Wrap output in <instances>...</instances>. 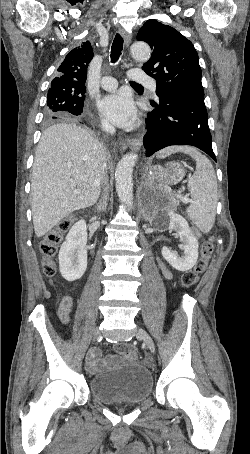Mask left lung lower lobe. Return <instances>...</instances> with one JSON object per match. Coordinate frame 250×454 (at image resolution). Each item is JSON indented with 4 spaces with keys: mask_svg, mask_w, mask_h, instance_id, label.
<instances>
[{
    "mask_svg": "<svg viewBox=\"0 0 250 454\" xmlns=\"http://www.w3.org/2000/svg\"><path fill=\"white\" fill-rule=\"evenodd\" d=\"M159 101L146 119V156L171 145H192L216 161L204 96L170 95Z\"/></svg>",
    "mask_w": 250,
    "mask_h": 454,
    "instance_id": "0a47b994",
    "label": "left lung lower lobe"
}]
</instances>
